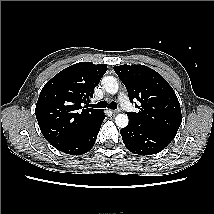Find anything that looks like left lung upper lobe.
<instances>
[{"mask_svg": "<svg viewBox=\"0 0 214 214\" xmlns=\"http://www.w3.org/2000/svg\"><path fill=\"white\" fill-rule=\"evenodd\" d=\"M115 72L126 86L130 101L137 100L138 112L127 113L129 121L176 134L182 122L177 96L169 83L144 65H120Z\"/></svg>", "mask_w": 214, "mask_h": 214, "instance_id": "obj_1", "label": "left lung upper lobe"}]
</instances>
